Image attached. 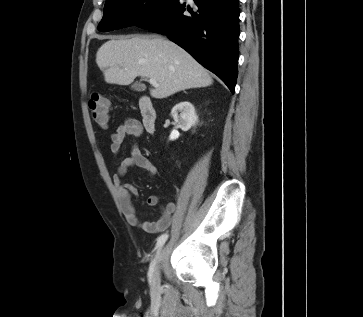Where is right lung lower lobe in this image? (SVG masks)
Listing matches in <instances>:
<instances>
[{"label": "right lung lower lobe", "mask_w": 363, "mask_h": 317, "mask_svg": "<svg viewBox=\"0 0 363 317\" xmlns=\"http://www.w3.org/2000/svg\"><path fill=\"white\" fill-rule=\"evenodd\" d=\"M238 2L193 0L190 7L176 0L167 11L137 26L167 35L234 93L239 56Z\"/></svg>", "instance_id": "obj_1"}]
</instances>
